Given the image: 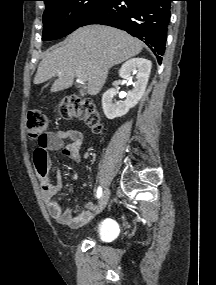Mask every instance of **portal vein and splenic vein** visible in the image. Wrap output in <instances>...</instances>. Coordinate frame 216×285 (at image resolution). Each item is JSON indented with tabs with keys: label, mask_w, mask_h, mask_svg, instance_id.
I'll list each match as a JSON object with an SVG mask.
<instances>
[{
	"label": "portal vein and splenic vein",
	"mask_w": 216,
	"mask_h": 285,
	"mask_svg": "<svg viewBox=\"0 0 216 285\" xmlns=\"http://www.w3.org/2000/svg\"><path fill=\"white\" fill-rule=\"evenodd\" d=\"M76 76H77V78H78L81 82H85V81L87 80L85 74H82V73L77 72V73H76Z\"/></svg>",
	"instance_id": "18ae733b"
}]
</instances>
